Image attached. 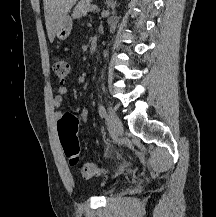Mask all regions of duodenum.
<instances>
[{
  "mask_svg": "<svg viewBox=\"0 0 216 217\" xmlns=\"http://www.w3.org/2000/svg\"><path fill=\"white\" fill-rule=\"evenodd\" d=\"M89 42H90V50L94 51L97 48V45H98L97 37H91Z\"/></svg>",
  "mask_w": 216,
  "mask_h": 217,
  "instance_id": "410a0bca",
  "label": "duodenum"
}]
</instances>
